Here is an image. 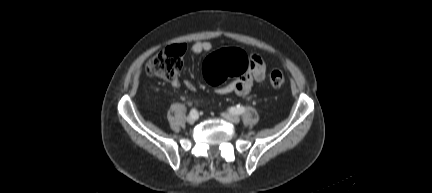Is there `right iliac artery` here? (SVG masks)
Instances as JSON below:
<instances>
[{
  "mask_svg": "<svg viewBox=\"0 0 432 193\" xmlns=\"http://www.w3.org/2000/svg\"><path fill=\"white\" fill-rule=\"evenodd\" d=\"M196 115H197V110L195 108L191 109L190 116H196Z\"/></svg>",
  "mask_w": 432,
  "mask_h": 193,
  "instance_id": "right-iliac-artery-1",
  "label": "right iliac artery"
}]
</instances>
